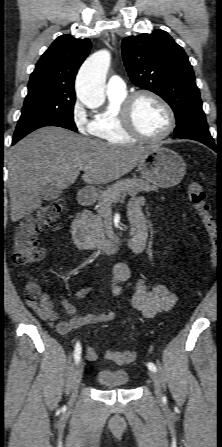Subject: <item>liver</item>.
I'll use <instances>...</instances> for the list:
<instances>
[{"label":"liver","instance_id":"1","mask_svg":"<svg viewBox=\"0 0 222 447\" xmlns=\"http://www.w3.org/2000/svg\"><path fill=\"white\" fill-rule=\"evenodd\" d=\"M155 146L112 145L60 127H43L8 153L10 218L17 222L42 204V189L72 185L84 171L87 184H107L133 170Z\"/></svg>","mask_w":222,"mask_h":447}]
</instances>
